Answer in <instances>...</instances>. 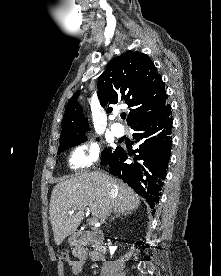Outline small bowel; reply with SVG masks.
<instances>
[{
	"label": "small bowel",
	"mask_w": 221,
	"mask_h": 276,
	"mask_svg": "<svg viewBox=\"0 0 221 276\" xmlns=\"http://www.w3.org/2000/svg\"><path fill=\"white\" fill-rule=\"evenodd\" d=\"M72 254L73 259L70 261V266L74 274H79L82 271L87 258H90L92 261L102 260V257H100L95 251H88L82 247L75 248Z\"/></svg>",
	"instance_id": "1"
}]
</instances>
